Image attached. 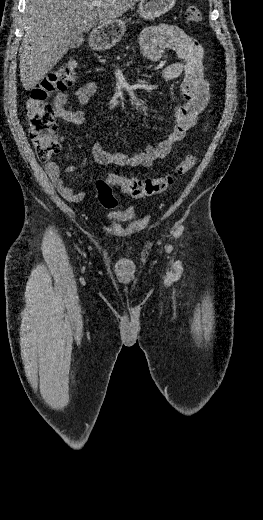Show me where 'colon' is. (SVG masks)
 Instances as JSON below:
<instances>
[{"label":"colon","mask_w":263,"mask_h":520,"mask_svg":"<svg viewBox=\"0 0 263 520\" xmlns=\"http://www.w3.org/2000/svg\"><path fill=\"white\" fill-rule=\"evenodd\" d=\"M185 19L190 23L200 22L199 8L197 6L187 7ZM76 77V63L74 61L66 62L51 71L35 86L26 102L28 132L36 155L41 162H48L61 149L56 135L55 110L48 99L56 91H64L71 87ZM196 163L197 157L190 154L176 166L174 174L154 178L112 174L107 179L96 182L98 200L104 208L114 209L117 206V198L113 187H118L123 193L136 199L160 194L173 184L175 176L188 173Z\"/></svg>","instance_id":"1"}]
</instances>
